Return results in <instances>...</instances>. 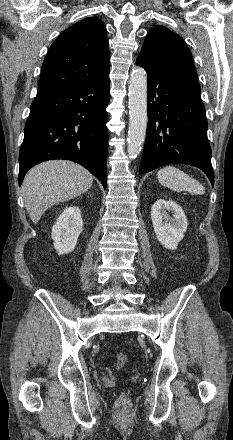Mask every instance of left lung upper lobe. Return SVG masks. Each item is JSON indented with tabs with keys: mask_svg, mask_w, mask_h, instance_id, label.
I'll return each mask as SVG.
<instances>
[{
	"mask_svg": "<svg viewBox=\"0 0 233 440\" xmlns=\"http://www.w3.org/2000/svg\"><path fill=\"white\" fill-rule=\"evenodd\" d=\"M138 59L160 74L197 81L189 48L179 35L164 26L157 25L148 32Z\"/></svg>",
	"mask_w": 233,
	"mask_h": 440,
	"instance_id": "left-lung-upper-lobe-1",
	"label": "left lung upper lobe"
}]
</instances>
